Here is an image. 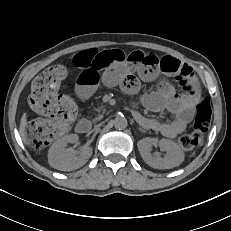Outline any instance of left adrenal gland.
Here are the masks:
<instances>
[{
    "label": "left adrenal gland",
    "instance_id": "1",
    "mask_svg": "<svg viewBox=\"0 0 231 231\" xmlns=\"http://www.w3.org/2000/svg\"><path fill=\"white\" fill-rule=\"evenodd\" d=\"M138 129H139L141 132H143V133L146 132V131H145L143 128H141V127H139Z\"/></svg>",
    "mask_w": 231,
    "mask_h": 231
}]
</instances>
